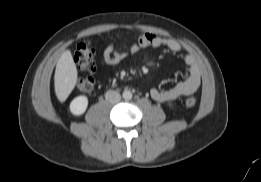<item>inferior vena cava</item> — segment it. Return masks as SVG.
<instances>
[{
    "mask_svg": "<svg viewBox=\"0 0 261 182\" xmlns=\"http://www.w3.org/2000/svg\"><path fill=\"white\" fill-rule=\"evenodd\" d=\"M105 99L110 103H117L121 100V95L117 91L109 90L105 94Z\"/></svg>",
    "mask_w": 261,
    "mask_h": 182,
    "instance_id": "obj_1",
    "label": "inferior vena cava"
}]
</instances>
